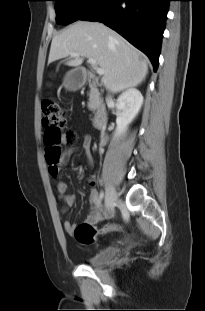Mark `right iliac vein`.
Wrapping results in <instances>:
<instances>
[{"instance_id": "right-iliac-vein-1", "label": "right iliac vein", "mask_w": 205, "mask_h": 311, "mask_svg": "<svg viewBox=\"0 0 205 311\" xmlns=\"http://www.w3.org/2000/svg\"><path fill=\"white\" fill-rule=\"evenodd\" d=\"M117 198L118 195L116 191L112 187H109L105 197V208L107 212H109L114 207Z\"/></svg>"}]
</instances>
